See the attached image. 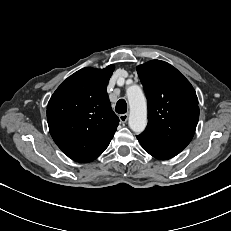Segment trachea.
<instances>
[{
  "label": "trachea",
  "mask_w": 231,
  "mask_h": 231,
  "mask_svg": "<svg viewBox=\"0 0 231 231\" xmlns=\"http://www.w3.org/2000/svg\"><path fill=\"white\" fill-rule=\"evenodd\" d=\"M115 111L118 114H124L127 112V104H126V101L124 99L118 100V102L116 104Z\"/></svg>",
  "instance_id": "obj_1"
}]
</instances>
